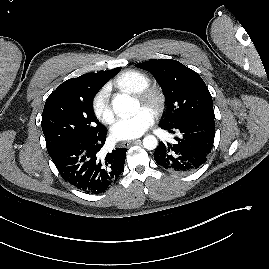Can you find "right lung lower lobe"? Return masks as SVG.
Here are the masks:
<instances>
[{
  "instance_id": "1",
  "label": "right lung lower lobe",
  "mask_w": 269,
  "mask_h": 269,
  "mask_svg": "<svg viewBox=\"0 0 269 269\" xmlns=\"http://www.w3.org/2000/svg\"><path fill=\"white\" fill-rule=\"evenodd\" d=\"M106 135L104 129L95 136L72 141L50 156L66 182L88 194L103 193L117 182L127 149L116 148L101 156Z\"/></svg>"
}]
</instances>
